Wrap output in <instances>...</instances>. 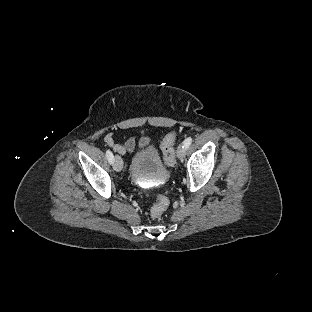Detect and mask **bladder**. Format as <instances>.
<instances>
[{"label": "bladder", "instance_id": "1", "mask_svg": "<svg viewBox=\"0 0 312 312\" xmlns=\"http://www.w3.org/2000/svg\"><path fill=\"white\" fill-rule=\"evenodd\" d=\"M130 172L135 176L167 177L157 149H146L130 160Z\"/></svg>", "mask_w": 312, "mask_h": 312}]
</instances>
